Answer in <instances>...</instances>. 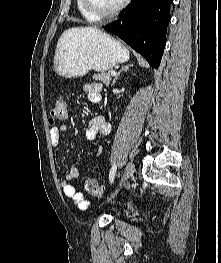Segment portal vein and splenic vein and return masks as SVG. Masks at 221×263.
Segmentation results:
<instances>
[{"label": "portal vein and splenic vein", "mask_w": 221, "mask_h": 263, "mask_svg": "<svg viewBox=\"0 0 221 263\" xmlns=\"http://www.w3.org/2000/svg\"><path fill=\"white\" fill-rule=\"evenodd\" d=\"M116 74H117L116 71H112V72H111V75H112V76H115Z\"/></svg>", "instance_id": "1"}]
</instances>
